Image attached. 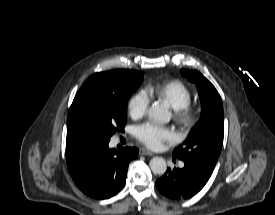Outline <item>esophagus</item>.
<instances>
[{
  "instance_id": "obj_1",
  "label": "esophagus",
  "mask_w": 275,
  "mask_h": 215,
  "mask_svg": "<svg viewBox=\"0 0 275 215\" xmlns=\"http://www.w3.org/2000/svg\"><path fill=\"white\" fill-rule=\"evenodd\" d=\"M139 152H140L141 155H145V156H152L153 155V153L151 151H149L148 149H146V148H141Z\"/></svg>"
}]
</instances>
